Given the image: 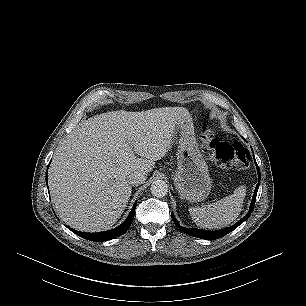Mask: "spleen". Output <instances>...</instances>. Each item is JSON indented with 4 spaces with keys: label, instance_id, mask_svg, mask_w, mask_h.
Masks as SVG:
<instances>
[{
    "label": "spleen",
    "instance_id": "obj_1",
    "mask_svg": "<svg viewBox=\"0 0 306 306\" xmlns=\"http://www.w3.org/2000/svg\"><path fill=\"white\" fill-rule=\"evenodd\" d=\"M245 195L246 187H237L232 195L226 196L215 203L189 208L190 216L196 225L202 228H223L235 221L240 215Z\"/></svg>",
    "mask_w": 306,
    "mask_h": 306
}]
</instances>
